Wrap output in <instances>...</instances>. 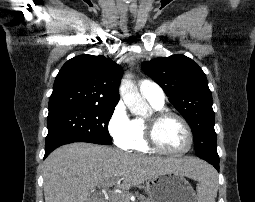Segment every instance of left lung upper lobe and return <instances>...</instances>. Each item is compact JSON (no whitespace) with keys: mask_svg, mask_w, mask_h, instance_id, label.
<instances>
[{"mask_svg":"<svg viewBox=\"0 0 255 202\" xmlns=\"http://www.w3.org/2000/svg\"><path fill=\"white\" fill-rule=\"evenodd\" d=\"M141 67L163 88L169 101L189 123L196 155L201 159L219 161L212 94L202 69L181 54L143 62Z\"/></svg>","mask_w":255,"mask_h":202,"instance_id":"1","label":"left lung upper lobe"}]
</instances>
